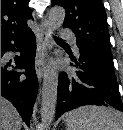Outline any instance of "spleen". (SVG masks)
Masks as SVG:
<instances>
[{"mask_svg":"<svg viewBox=\"0 0 123 130\" xmlns=\"http://www.w3.org/2000/svg\"><path fill=\"white\" fill-rule=\"evenodd\" d=\"M64 117L67 130H123L118 115L105 107L82 106Z\"/></svg>","mask_w":123,"mask_h":130,"instance_id":"1","label":"spleen"}]
</instances>
